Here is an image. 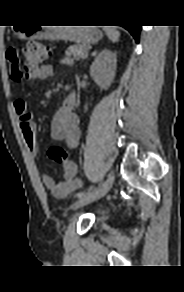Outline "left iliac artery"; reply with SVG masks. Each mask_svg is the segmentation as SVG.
Wrapping results in <instances>:
<instances>
[{"label": "left iliac artery", "mask_w": 184, "mask_h": 292, "mask_svg": "<svg viewBox=\"0 0 184 292\" xmlns=\"http://www.w3.org/2000/svg\"><path fill=\"white\" fill-rule=\"evenodd\" d=\"M100 187V186H99ZM97 188H94V189H89L87 191H84V192H79L76 194V197L78 199H82V198H85L86 196H88L91 192H93L94 190H96Z\"/></svg>", "instance_id": "44dca946"}]
</instances>
